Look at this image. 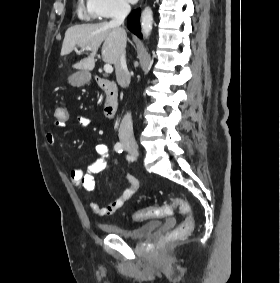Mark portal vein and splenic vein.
<instances>
[{
    "instance_id": "obj_1",
    "label": "portal vein and splenic vein",
    "mask_w": 280,
    "mask_h": 283,
    "mask_svg": "<svg viewBox=\"0 0 280 283\" xmlns=\"http://www.w3.org/2000/svg\"><path fill=\"white\" fill-rule=\"evenodd\" d=\"M82 50L83 51L84 50H92V48L90 46H87V47L82 48ZM104 71H105V73L110 74V73L113 72V67L110 64H105L104 65Z\"/></svg>"
}]
</instances>
